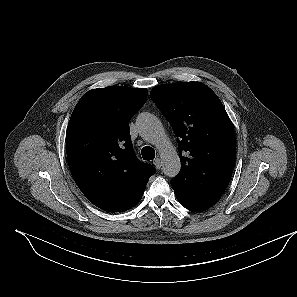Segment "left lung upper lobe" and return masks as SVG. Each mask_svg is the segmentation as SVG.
<instances>
[{
	"mask_svg": "<svg viewBox=\"0 0 297 297\" xmlns=\"http://www.w3.org/2000/svg\"><path fill=\"white\" fill-rule=\"evenodd\" d=\"M151 99L178 137L181 170L171 180L186 209L202 212L226 190L235 166L234 128L218 96L201 82L154 87Z\"/></svg>",
	"mask_w": 297,
	"mask_h": 297,
	"instance_id": "1",
	"label": "left lung upper lobe"
}]
</instances>
